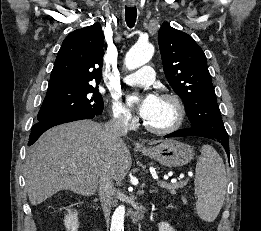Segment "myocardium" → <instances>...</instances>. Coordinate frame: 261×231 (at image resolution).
Listing matches in <instances>:
<instances>
[{
    "mask_svg": "<svg viewBox=\"0 0 261 231\" xmlns=\"http://www.w3.org/2000/svg\"><path fill=\"white\" fill-rule=\"evenodd\" d=\"M159 99L169 100L171 101L176 109V120L175 122L166 128H157L151 126L147 121H144V127L151 133L158 134V135H168L176 132L181 128L184 123L186 117V110L184 103L182 102L181 98L172 93H163L159 96Z\"/></svg>",
    "mask_w": 261,
    "mask_h": 231,
    "instance_id": "f54148a6",
    "label": "myocardium"
}]
</instances>
